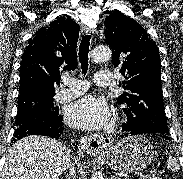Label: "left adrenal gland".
I'll use <instances>...</instances> for the list:
<instances>
[{
	"mask_svg": "<svg viewBox=\"0 0 183 179\" xmlns=\"http://www.w3.org/2000/svg\"><path fill=\"white\" fill-rule=\"evenodd\" d=\"M110 179H119L116 176L112 175Z\"/></svg>",
	"mask_w": 183,
	"mask_h": 179,
	"instance_id": "left-adrenal-gland-1",
	"label": "left adrenal gland"
}]
</instances>
